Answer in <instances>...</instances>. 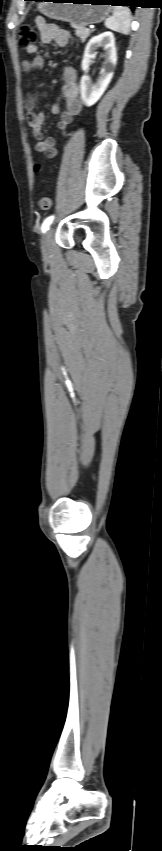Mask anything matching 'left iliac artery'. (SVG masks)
<instances>
[{
  "mask_svg": "<svg viewBox=\"0 0 162 851\" xmlns=\"http://www.w3.org/2000/svg\"><path fill=\"white\" fill-rule=\"evenodd\" d=\"M53 219H54V216H50V217H48V218H47V219L43 222V224H42V232H43V233H44V232H46V231L48 230V228H49L50 224L52 223Z\"/></svg>",
  "mask_w": 162,
  "mask_h": 851,
  "instance_id": "44dca946",
  "label": "left iliac artery"
}]
</instances>
